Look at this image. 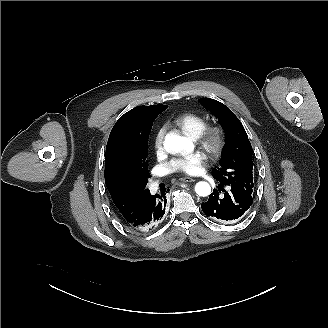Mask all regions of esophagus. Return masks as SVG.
Returning <instances> with one entry per match:
<instances>
[{
	"label": "esophagus",
	"mask_w": 328,
	"mask_h": 328,
	"mask_svg": "<svg viewBox=\"0 0 328 328\" xmlns=\"http://www.w3.org/2000/svg\"><path fill=\"white\" fill-rule=\"evenodd\" d=\"M179 181H182V182H194L195 180L193 178H190V177H182V178H179Z\"/></svg>",
	"instance_id": "1"
}]
</instances>
